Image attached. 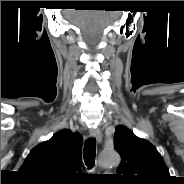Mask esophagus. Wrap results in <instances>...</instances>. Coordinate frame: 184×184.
<instances>
[{
	"mask_svg": "<svg viewBox=\"0 0 184 184\" xmlns=\"http://www.w3.org/2000/svg\"><path fill=\"white\" fill-rule=\"evenodd\" d=\"M89 133L92 137L96 138L99 142L102 140V134L99 128H91Z\"/></svg>",
	"mask_w": 184,
	"mask_h": 184,
	"instance_id": "34e87169",
	"label": "esophagus"
}]
</instances>
